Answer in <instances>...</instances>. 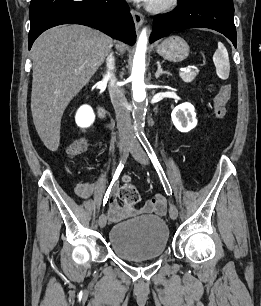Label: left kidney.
Returning a JSON list of instances; mask_svg holds the SVG:
<instances>
[{"mask_svg": "<svg viewBox=\"0 0 261 306\" xmlns=\"http://www.w3.org/2000/svg\"><path fill=\"white\" fill-rule=\"evenodd\" d=\"M171 118L174 126L183 133L191 131L197 125L195 109L190 103H183L175 107Z\"/></svg>", "mask_w": 261, "mask_h": 306, "instance_id": "left-kidney-1", "label": "left kidney"}]
</instances>
